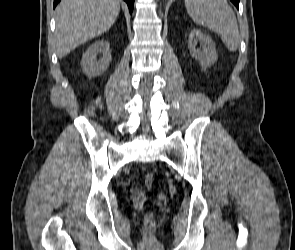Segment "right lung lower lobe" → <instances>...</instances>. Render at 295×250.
I'll list each match as a JSON object with an SVG mask.
<instances>
[{"label":"right lung lower lobe","instance_id":"1","mask_svg":"<svg viewBox=\"0 0 295 250\" xmlns=\"http://www.w3.org/2000/svg\"><path fill=\"white\" fill-rule=\"evenodd\" d=\"M60 0H54V8L56 7V5L58 4ZM127 4H128V7H129V11L130 13H132V10H133V6H134V0H124Z\"/></svg>","mask_w":295,"mask_h":250}]
</instances>
